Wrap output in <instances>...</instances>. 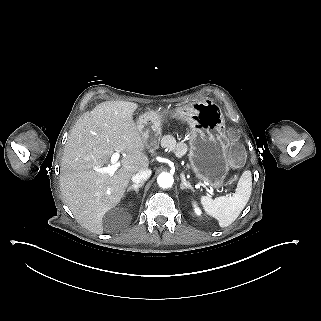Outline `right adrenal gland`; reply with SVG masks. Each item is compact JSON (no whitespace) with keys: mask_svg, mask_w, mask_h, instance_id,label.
<instances>
[{"mask_svg":"<svg viewBox=\"0 0 321 321\" xmlns=\"http://www.w3.org/2000/svg\"><path fill=\"white\" fill-rule=\"evenodd\" d=\"M144 183L138 184V185H132L128 190L127 193L134 191L136 194H138V189L142 187Z\"/></svg>","mask_w":321,"mask_h":321,"instance_id":"right-adrenal-gland-1","label":"right adrenal gland"}]
</instances>
